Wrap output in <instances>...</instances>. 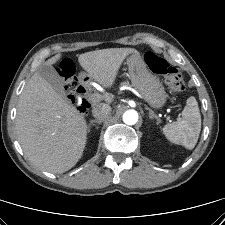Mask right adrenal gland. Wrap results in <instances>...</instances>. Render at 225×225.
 <instances>
[{"instance_id": "right-adrenal-gland-1", "label": "right adrenal gland", "mask_w": 225, "mask_h": 225, "mask_svg": "<svg viewBox=\"0 0 225 225\" xmlns=\"http://www.w3.org/2000/svg\"><path fill=\"white\" fill-rule=\"evenodd\" d=\"M103 121L102 120H99V119H96V120H91L90 123H89V126H88V132H90V126L91 125H94L95 123L97 124H101Z\"/></svg>"}]
</instances>
